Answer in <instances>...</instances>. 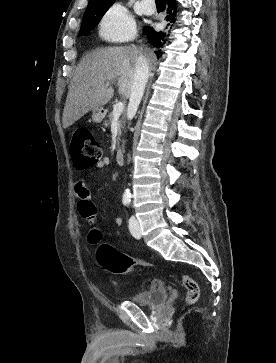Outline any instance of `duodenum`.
<instances>
[{
  "label": "duodenum",
  "mask_w": 276,
  "mask_h": 363,
  "mask_svg": "<svg viewBox=\"0 0 276 363\" xmlns=\"http://www.w3.org/2000/svg\"><path fill=\"white\" fill-rule=\"evenodd\" d=\"M116 162L121 165L124 163V152L122 150H118L115 155Z\"/></svg>",
  "instance_id": "duodenum-1"
}]
</instances>
